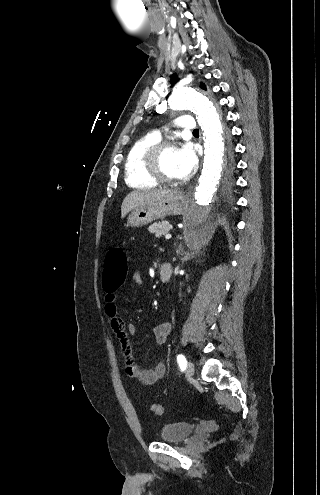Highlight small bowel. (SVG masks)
<instances>
[{
	"mask_svg": "<svg viewBox=\"0 0 320 495\" xmlns=\"http://www.w3.org/2000/svg\"><path fill=\"white\" fill-rule=\"evenodd\" d=\"M133 279L137 282H141L140 275L135 273ZM116 290L108 291L105 290V314L108 317L110 326L113 332L118 338L121 349L124 355V369L128 377L138 380L144 385H152L159 381L165 374L166 368L164 363H158L152 369H142L135 362L131 339L136 335V327L131 322L123 321L118 314V308L116 305ZM173 322L168 321L161 323L154 327L153 336L155 342L158 345H164L168 336L171 334L173 329Z\"/></svg>",
	"mask_w": 320,
	"mask_h": 495,
	"instance_id": "1",
	"label": "small bowel"
}]
</instances>
